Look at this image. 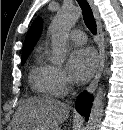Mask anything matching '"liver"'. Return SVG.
Returning a JSON list of instances; mask_svg holds the SVG:
<instances>
[{"mask_svg":"<svg viewBox=\"0 0 123 130\" xmlns=\"http://www.w3.org/2000/svg\"><path fill=\"white\" fill-rule=\"evenodd\" d=\"M69 114L70 108L59 100L30 97L20 103L8 130H59Z\"/></svg>","mask_w":123,"mask_h":130,"instance_id":"6515ba94","label":"liver"}]
</instances>
